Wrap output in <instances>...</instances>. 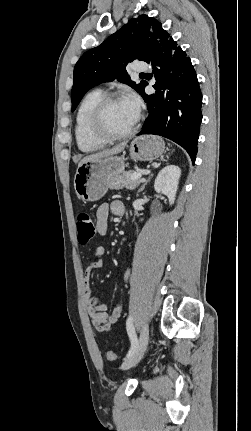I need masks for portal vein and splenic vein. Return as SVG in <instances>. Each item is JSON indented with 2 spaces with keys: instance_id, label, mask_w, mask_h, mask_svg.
Masks as SVG:
<instances>
[{
  "instance_id": "18ae733b",
  "label": "portal vein and splenic vein",
  "mask_w": 251,
  "mask_h": 431,
  "mask_svg": "<svg viewBox=\"0 0 251 431\" xmlns=\"http://www.w3.org/2000/svg\"><path fill=\"white\" fill-rule=\"evenodd\" d=\"M142 177L141 173H134L131 175V179L135 180V179H140ZM143 181V179H141Z\"/></svg>"
}]
</instances>
